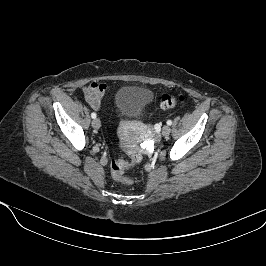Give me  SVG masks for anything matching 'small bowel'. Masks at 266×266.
Returning a JSON list of instances; mask_svg holds the SVG:
<instances>
[{
    "label": "small bowel",
    "instance_id": "small-bowel-1",
    "mask_svg": "<svg viewBox=\"0 0 266 266\" xmlns=\"http://www.w3.org/2000/svg\"><path fill=\"white\" fill-rule=\"evenodd\" d=\"M107 91V85L104 83L93 82L85 87L83 92L87 103L95 110L101 108L102 99Z\"/></svg>",
    "mask_w": 266,
    "mask_h": 266
}]
</instances>
